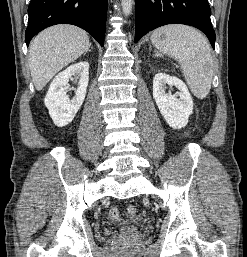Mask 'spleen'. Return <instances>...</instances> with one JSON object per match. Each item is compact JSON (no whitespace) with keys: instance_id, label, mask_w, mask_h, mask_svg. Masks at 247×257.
<instances>
[{"instance_id":"3e777b00","label":"spleen","mask_w":247,"mask_h":257,"mask_svg":"<svg viewBox=\"0 0 247 257\" xmlns=\"http://www.w3.org/2000/svg\"><path fill=\"white\" fill-rule=\"evenodd\" d=\"M151 42L160 52L180 63L186 82L196 97L203 99L208 95L213 60L210 45L199 31L185 25H166L152 33Z\"/></svg>"}]
</instances>
